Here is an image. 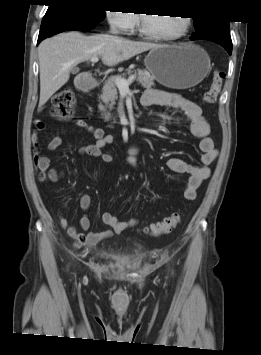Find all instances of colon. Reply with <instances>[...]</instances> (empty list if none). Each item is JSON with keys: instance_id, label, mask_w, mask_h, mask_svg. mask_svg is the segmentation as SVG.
<instances>
[{"instance_id": "obj_1", "label": "colon", "mask_w": 261, "mask_h": 355, "mask_svg": "<svg viewBox=\"0 0 261 355\" xmlns=\"http://www.w3.org/2000/svg\"><path fill=\"white\" fill-rule=\"evenodd\" d=\"M225 73L222 70H216L212 82L203 96V101L207 105H212L217 101L221 92ZM76 99L73 90L70 87H64L59 90L52 98V112L56 119L60 121H69L73 118ZM181 221V215L174 212L163 220L152 223L144 228V232L151 236H159L170 233Z\"/></svg>"}]
</instances>
